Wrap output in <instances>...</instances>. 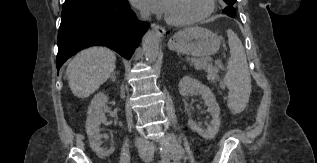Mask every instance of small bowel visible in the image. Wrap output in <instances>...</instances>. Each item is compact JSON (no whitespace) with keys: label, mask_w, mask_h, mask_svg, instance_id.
I'll use <instances>...</instances> for the list:
<instances>
[{"label":"small bowel","mask_w":317,"mask_h":163,"mask_svg":"<svg viewBox=\"0 0 317 163\" xmlns=\"http://www.w3.org/2000/svg\"><path fill=\"white\" fill-rule=\"evenodd\" d=\"M174 156L179 157V155L175 154ZM175 162L178 161V160H174ZM161 163H170L169 160L167 158H164L163 160H161Z\"/></svg>","instance_id":"obj_1"}]
</instances>
